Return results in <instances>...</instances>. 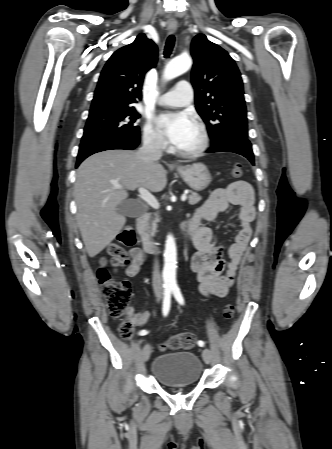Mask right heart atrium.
Returning a JSON list of instances; mask_svg holds the SVG:
<instances>
[{"mask_svg": "<svg viewBox=\"0 0 332 449\" xmlns=\"http://www.w3.org/2000/svg\"><path fill=\"white\" fill-rule=\"evenodd\" d=\"M143 138L148 146L156 150L163 151L167 148L166 139L150 121L144 127Z\"/></svg>", "mask_w": 332, "mask_h": 449, "instance_id": "right-heart-atrium-1", "label": "right heart atrium"}]
</instances>
